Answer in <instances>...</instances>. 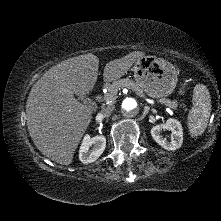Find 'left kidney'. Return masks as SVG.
<instances>
[{
    "label": "left kidney",
    "instance_id": "1",
    "mask_svg": "<svg viewBox=\"0 0 221 221\" xmlns=\"http://www.w3.org/2000/svg\"><path fill=\"white\" fill-rule=\"evenodd\" d=\"M162 130H169L172 133L171 140H167L162 134ZM153 139L166 150L179 149L183 142V131L181 123L173 118H170L164 124H159L151 129Z\"/></svg>",
    "mask_w": 221,
    "mask_h": 221
}]
</instances>
